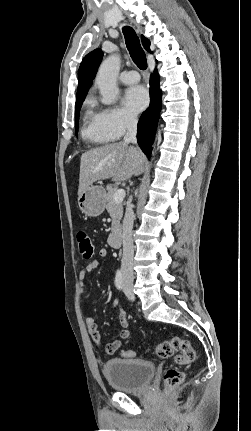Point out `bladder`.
<instances>
[{"instance_id":"1","label":"bladder","mask_w":251,"mask_h":431,"mask_svg":"<svg viewBox=\"0 0 251 431\" xmlns=\"http://www.w3.org/2000/svg\"><path fill=\"white\" fill-rule=\"evenodd\" d=\"M156 368L153 362L141 359L115 358L105 362L103 375L109 386L123 393L143 391L152 380Z\"/></svg>"}]
</instances>
